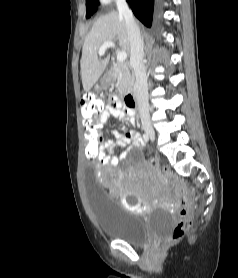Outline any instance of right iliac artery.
Here are the masks:
<instances>
[{"instance_id":"right-iliac-artery-1","label":"right iliac artery","mask_w":238,"mask_h":278,"mask_svg":"<svg viewBox=\"0 0 238 278\" xmlns=\"http://www.w3.org/2000/svg\"><path fill=\"white\" fill-rule=\"evenodd\" d=\"M143 139H144L145 142H148V140H149L148 135L144 133L143 134Z\"/></svg>"}]
</instances>
